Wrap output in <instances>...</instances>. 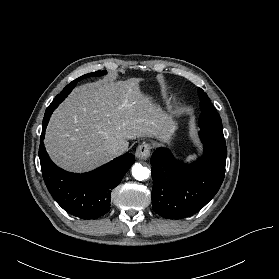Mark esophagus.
I'll use <instances>...</instances> for the list:
<instances>
[{
    "label": "esophagus",
    "mask_w": 279,
    "mask_h": 279,
    "mask_svg": "<svg viewBox=\"0 0 279 279\" xmlns=\"http://www.w3.org/2000/svg\"><path fill=\"white\" fill-rule=\"evenodd\" d=\"M151 154V145L148 143H143L136 149L135 155L138 159L147 160Z\"/></svg>",
    "instance_id": "obj_1"
}]
</instances>
